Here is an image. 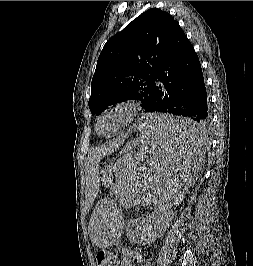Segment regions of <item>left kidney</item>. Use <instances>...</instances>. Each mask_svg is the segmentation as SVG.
Here are the masks:
<instances>
[{
  "label": "left kidney",
  "mask_w": 253,
  "mask_h": 266,
  "mask_svg": "<svg viewBox=\"0 0 253 266\" xmlns=\"http://www.w3.org/2000/svg\"><path fill=\"white\" fill-rule=\"evenodd\" d=\"M159 219L154 216H144L142 219H131L126 226V234L132 243L145 245L157 237L156 228Z\"/></svg>",
  "instance_id": "1"
}]
</instances>
